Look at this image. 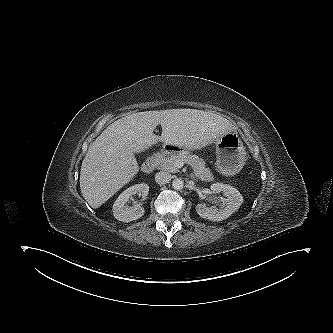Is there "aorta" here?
Returning <instances> with one entry per match:
<instances>
[{
    "label": "aorta",
    "mask_w": 333,
    "mask_h": 333,
    "mask_svg": "<svg viewBox=\"0 0 333 333\" xmlns=\"http://www.w3.org/2000/svg\"><path fill=\"white\" fill-rule=\"evenodd\" d=\"M172 187L175 190H181L184 187V182L181 179H178V178L174 179L173 182H172Z\"/></svg>",
    "instance_id": "aorta-1"
}]
</instances>
